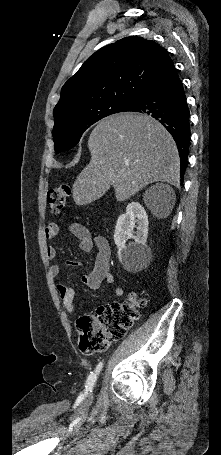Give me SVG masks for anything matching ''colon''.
I'll return each instance as SVG.
<instances>
[{
    "label": "colon",
    "instance_id": "obj_1",
    "mask_svg": "<svg viewBox=\"0 0 221 455\" xmlns=\"http://www.w3.org/2000/svg\"><path fill=\"white\" fill-rule=\"evenodd\" d=\"M71 188L67 184L49 190L47 207L53 214L64 209ZM144 300L131 295L125 302H113L100 306L94 313L80 317L77 328L80 333L79 348L83 353H96L107 348L111 341L122 339L139 318Z\"/></svg>",
    "mask_w": 221,
    "mask_h": 455
}]
</instances>
